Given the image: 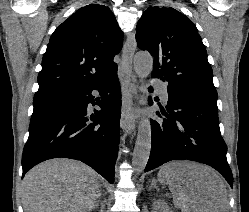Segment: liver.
<instances>
[{"mask_svg":"<svg viewBox=\"0 0 249 212\" xmlns=\"http://www.w3.org/2000/svg\"><path fill=\"white\" fill-rule=\"evenodd\" d=\"M181 212H229L226 186L216 170L196 162H170L158 174ZM97 174L75 160H47L22 182L24 212H92Z\"/></svg>","mask_w":249,"mask_h":212,"instance_id":"obj_1","label":"liver"}]
</instances>
